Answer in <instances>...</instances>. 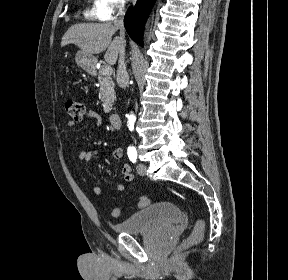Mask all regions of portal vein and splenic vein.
<instances>
[{
	"label": "portal vein and splenic vein",
	"instance_id": "portal-vein-and-splenic-vein-1",
	"mask_svg": "<svg viewBox=\"0 0 288 280\" xmlns=\"http://www.w3.org/2000/svg\"><path fill=\"white\" fill-rule=\"evenodd\" d=\"M104 71H105L106 74H110L111 75L112 72H113V69H112V67L110 65H106L105 68H104Z\"/></svg>",
	"mask_w": 288,
	"mask_h": 280
}]
</instances>
